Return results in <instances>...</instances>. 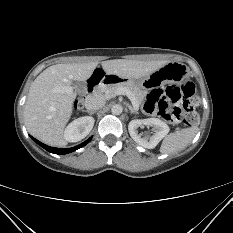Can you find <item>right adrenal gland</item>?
Segmentation results:
<instances>
[{
	"instance_id": "obj_1",
	"label": "right adrenal gland",
	"mask_w": 233,
	"mask_h": 233,
	"mask_svg": "<svg viewBox=\"0 0 233 233\" xmlns=\"http://www.w3.org/2000/svg\"><path fill=\"white\" fill-rule=\"evenodd\" d=\"M83 112H86L90 115H93L94 113H96V111H89V110H82Z\"/></svg>"
}]
</instances>
